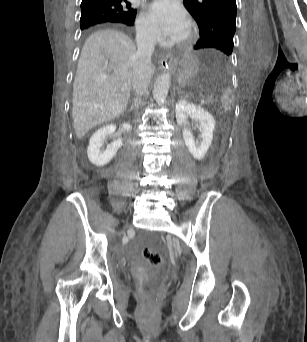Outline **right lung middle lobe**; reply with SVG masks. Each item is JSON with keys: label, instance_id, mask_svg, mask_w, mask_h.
<instances>
[{"label": "right lung middle lobe", "instance_id": "1", "mask_svg": "<svg viewBox=\"0 0 307 342\" xmlns=\"http://www.w3.org/2000/svg\"><path fill=\"white\" fill-rule=\"evenodd\" d=\"M119 17V13L109 9H87L82 10L80 18L81 29L87 28L94 24L111 21Z\"/></svg>", "mask_w": 307, "mask_h": 342}]
</instances>
